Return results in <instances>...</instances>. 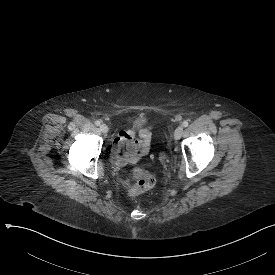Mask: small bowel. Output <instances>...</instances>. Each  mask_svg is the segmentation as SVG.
<instances>
[{
  "label": "small bowel",
  "mask_w": 275,
  "mask_h": 275,
  "mask_svg": "<svg viewBox=\"0 0 275 275\" xmlns=\"http://www.w3.org/2000/svg\"><path fill=\"white\" fill-rule=\"evenodd\" d=\"M152 126L146 125L141 128H129L126 134L123 131L117 132V137L113 142V162L118 168L128 163L137 162L142 156L147 154L152 140ZM137 137L140 140H135ZM147 141V142H143Z\"/></svg>",
  "instance_id": "small-bowel-1"
}]
</instances>
